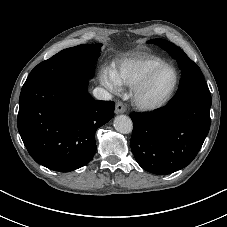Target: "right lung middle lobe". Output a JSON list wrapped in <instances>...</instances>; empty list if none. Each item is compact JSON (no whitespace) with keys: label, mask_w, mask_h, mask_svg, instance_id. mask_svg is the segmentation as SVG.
Segmentation results:
<instances>
[{"label":"right lung middle lobe","mask_w":227,"mask_h":227,"mask_svg":"<svg viewBox=\"0 0 227 227\" xmlns=\"http://www.w3.org/2000/svg\"><path fill=\"white\" fill-rule=\"evenodd\" d=\"M101 46L102 44L78 45L60 51L31 71L22 90L48 80L69 77L92 78Z\"/></svg>","instance_id":"right-lung-middle-lobe-1"}]
</instances>
